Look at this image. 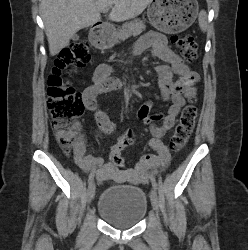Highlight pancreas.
Instances as JSON below:
<instances>
[{
  "label": "pancreas",
  "mask_w": 248,
  "mask_h": 250,
  "mask_svg": "<svg viewBox=\"0 0 248 250\" xmlns=\"http://www.w3.org/2000/svg\"><path fill=\"white\" fill-rule=\"evenodd\" d=\"M146 26L140 19H135L133 21L123 24L122 28L118 32H114L113 36L118 42L119 40H125L131 35L137 36L145 30Z\"/></svg>",
  "instance_id": "obj_1"
}]
</instances>
